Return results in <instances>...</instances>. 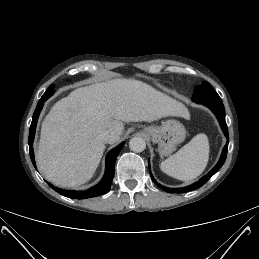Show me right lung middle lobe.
<instances>
[{"label":"right lung middle lobe","mask_w":259,"mask_h":259,"mask_svg":"<svg viewBox=\"0 0 259 259\" xmlns=\"http://www.w3.org/2000/svg\"><path fill=\"white\" fill-rule=\"evenodd\" d=\"M53 87L54 85L52 84L47 91L43 94V96L41 98H46L48 99L52 94H53Z\"/></svg>","instance_id":"obj_1"}]
</instances>
